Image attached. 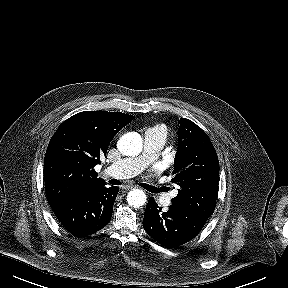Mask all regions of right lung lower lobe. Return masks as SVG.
<instances>
[{"label":"right lung lower lobe","instance_id":"right-lung-lower-lobe-1","mask_svg":"<svg viewBox=\"0 0 288 288\" xmlns=\"http://www.w3.org/2000/svg\"><path fill=\"white\" fill-rule=\"evenodd\" d=\"M119 188L100 185L65 198L49 202L54 214L71 234H93L111 219Z\"/></svg>","mask_w":288,"mask_h":288}]
</instances>
